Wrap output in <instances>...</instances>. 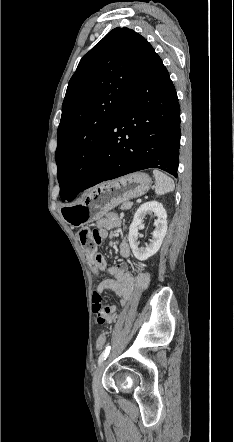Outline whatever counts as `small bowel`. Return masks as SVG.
<instances>
[{
  "label": "small bowel",
  "instance_id": "1",
  "mask_svg": "<svg viewBox=\"0 0 234 442\" xmlns=\"http://www.w3.org/2000/svg\"><path fill=\"white\" fill-rule=\"evenodd\" d=\"M122 224V218L115 214H110L100 219L97 222V233L100 240L108 237L110 229L121 227ZM119 254L124 259H128L130 257L131 249L127 241L124 240L120 243ZM89 261L92 266L96 265L99 270L107 271L112 276V278L101 281L96 286L95 293L101 294L107 290H112L120 297L122 303H125L137 285L141 288H145L148 285L149 276L147 273L142 271L141 266H137L139 272L137 276H135L129 270L126 263L108 266L104 256L100 254H90ZM116 317V306L106 305L104 306L101 314L93 315V322L97 328H104L106 326V322L112 323L115 321Z\"/></svg>",
  "mask_w": 234,
  "mask_h": 442
}]
</instances>
